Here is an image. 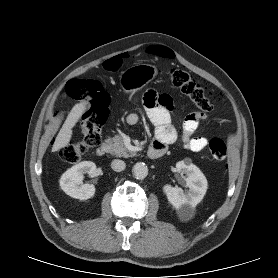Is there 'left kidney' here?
<instances>
[{"label": "left kidney", "mask_w": 278, "mask_h": 278, "mask_svg": "<svg viewBox=\"0 0 278 278\" xmlns=\"http://www.w3.org/2000/svg\"><path fill=\"white\" fill-rule=\"evenodd\" d=\"M176 169L179 173L186 174V183L189 191L184 193L181 188L168 184L163 187V191L175 209L185 210L194 208L202 201L207 191V179L194 164H187L184 161H180L176 164Z\"/></svg>", "instance_id": "1"}]
</instances>
